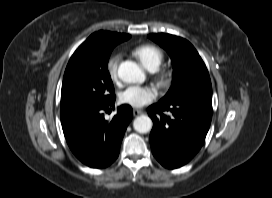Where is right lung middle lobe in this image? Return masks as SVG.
I'll return each mask as SVG.
<instances>
[{"instance_id": "obj_1", "label": "right lung middle lobe", "mask_w": 272, "mask_h": 198, "mask_svg": "<svg viewBox=\"0 0 272 198\" xmlns=\"http://www.w3.org/2000/svg\"><path fill=\"white\" fill-rule=\"evenodd\" d=\"M120 42L98 47L77 66L65 71L61 90V110L81 105L106 104L115 99L108 72V59Z\"/></svg>"}]
</instances>
